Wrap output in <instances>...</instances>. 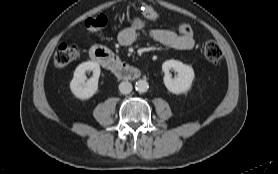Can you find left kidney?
Here are the masks:
<instances>
[{
    "instance_id": "1",
    "label": "left kidney",
    "mask_w": 278,
    "mask_h": 174,
    "mask_svg": "<svg viewBox=\"0 0 278 174\" xmlns=\"http://www.w3.org/2000/svg\"><path fill=\"white\" fill-rule=\"evenodd\" d=\"M178 73L176 78H171L170 70ZM164 72V84L167 90L173 94H181L189 91L194 80V70L191 66L178 60H167L162 64Z\"/></svg>"
}]
</instances>
